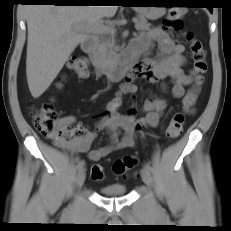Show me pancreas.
Instances as JSON below:
<instances>
[{
	"instance_id": "cf45deb5",
	"label": "pancreas",
	"mask_w": 231,
	"mask_h": 231,
	"mask_svg": "<svg viewBox=\"0 0 231 231\" xmlns=\"http://www.w3.org/2000/svg\"><path fill=\"white\" fill-rule=\"evenodd\" d=\"M150 26L151 24L143 17L137 19V23L135 24V28L138 31H147L150 29ZM119 50L120 48L116 46L114 35L111 34L109 38L102 39L100 45L96 49L94 53V63L104 67L112 65Z\"/></svg>"
}]
</instances>
